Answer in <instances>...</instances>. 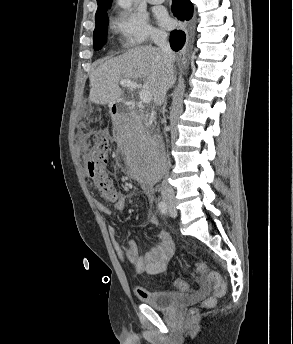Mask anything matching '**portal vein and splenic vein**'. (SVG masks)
I'll list each match as a JSON object with an SVG mask.
<instances>
[{
	"instance_id": "18ae733b",
	"label": "portal vein and splenic vein",
	"mask_w": 293,
	"mask_h": 344,
	"mask_svg": "<svg viewBox=\"0 0 293 344\" xmlns=\"http://www.w3.org/2000/svg\"><path fill=\"white\" fill-rule=\"evenodd\" d=\"M120 85H122L123 87H129V88H141V91H140V100L145 103V104H148L151 102V99H152V96L150 94V92L148 90H146L144 88V86H142L141 84H138L137 82L135 81H131V80H127V79H122L120 81Z\"/></svg>"
}]
</instances>
